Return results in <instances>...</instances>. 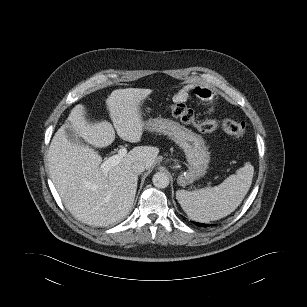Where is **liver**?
Segmentation results:
<instances>
[{
  "mask_svg": "<svg viewBox=\"0 0 307 307\" xmlns=\"http://www.w3.org/2000/svg\"><path fill=\"white\" fill-rule=\"evenodd\" d=\"M152 92L145 88L112 91L106 105L113 125L106 120L90 122L85 106L78 104L55 133L48 150L50 177L65 207L83 223L108 226L123 220L132 209L138 184L132 165L142 162L145 169H150L159 149L137 146L104 174L100 168L102 157L89 145H111L115 131L125 141L139 142L144 129L140 107ZM68 127L88 145L69 140Z\"/></svg>",
  "mask_w": 307,
  "mask_h": 307,
  "instance_id": "1",
  "label": "liver"
}]
</instances>
